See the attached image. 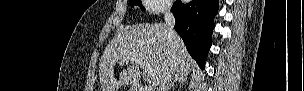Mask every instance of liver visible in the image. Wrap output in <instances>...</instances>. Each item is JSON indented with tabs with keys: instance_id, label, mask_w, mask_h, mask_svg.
<instances>
[{
	"instance_id": "obj_1",
	"label": "liver",
	"mask_w": 304,
	"mask_h": 91,
	"mask_svg": "<svg viewBox=\"0 0 304 91\" xmlns=\"http://www.w3.org/2000/svg\"><path fill=\"white\" fill-rule=\"evenodd\" d=\"M125 57L142 59L147 63L154 88L160 85L172 66L177 76L180 73L188 74L190 66L193 65L181 38L177 35L173 42L170 41L165 25L138 24L120 28L100 59L99 78L102 91H117L122 85L139 81V65L135 61L124 62ZM118 62L126 63L127 67L119 73L117 80L114 78V66Z\"/></svg>"
}]
</instances>
